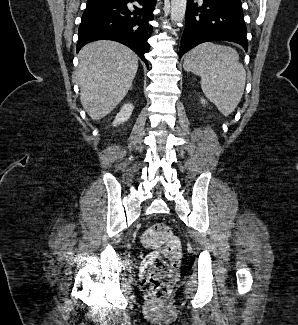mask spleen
<instances>
[{"label": "spleen", "mask_w": 298, "mask_h": 325, "mask_svg": "<svg viewBox=\"0 0 298 325\" xmlns=\"http://www.w3.org/2000/svg\"><path fill=\"white\" fill-rule=\"evenodd\" d=\"M184 70L201 76V88L210 102L228 116L239 104L246 82V72L239 54L231 46L203 42L187 52Z\"/></svg>", "instance_id": "obj_1"}]
</instances>
